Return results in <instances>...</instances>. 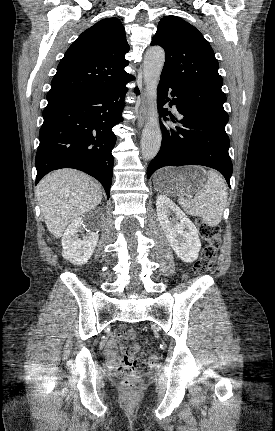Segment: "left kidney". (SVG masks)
<instances>
[{
	"mask_svg": "<svg viewBox=\"0 0 275 431\" xmlns=\"http://www.w3.org/2000/svg\"><path fill=\"white\" fill-rule=\"evenodd\" d=\"M156 211L160 225L177 256L191 263L198 258L201 242L198 230L186 214L167 196L156 200ZM175 214L173 218L170 216Z\"/></svg>",
	"mask_w": 275,
	"mask_h": 431,
	"instance_id": "5707ae66",
	"label": "left kidney"
}]
</instances>
